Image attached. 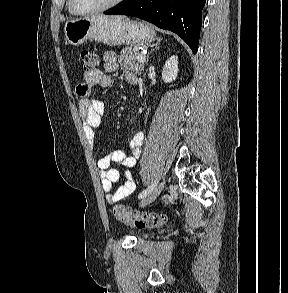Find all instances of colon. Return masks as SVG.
<instances>
[{
	"label": "colon",
	"mask_w": 288,
	"mask_h": 293,
	"mask_svg": "<svg viewBox=\"0 0 288 293\" xmlns=\"http://www.w3.org/2000/svg\"><path fill=\"white\" fill-rule=\"evenodd\" d=\"M80 56L84 72H93L99 62L97 55L90 50H82ZM112 214L117 220L132 224L138 228L156 227L161 225L165 220L164 216L154 213L139 214L132 211L129 207L119 204L112 207Z\"/></svg>",
	"instance_id": "1"
}]
</instances>
